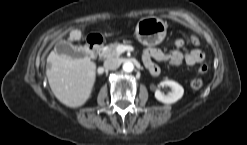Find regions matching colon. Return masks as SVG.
I'll return each mask as SVG.
<instances>
[{
	"mask_svg": "<svg viewBox=\"0 0 247 145\" xmlns=\"http://www.w3.org/2000/svg\"><path fill=\"white\" fill-rule=\"evenodd\" d=\"M207 71H208V66L204 64V65L200 66L198 72L200 75H204L207 73ZM202 86H203L202 78H196L190 82V87L192 89H195V90L200 89Z\"/></svg>",
	"mask_w": 247,
	"mask_h": 145,
	"instance_id": "1",
	"label": "colon"
}]
</instances>
